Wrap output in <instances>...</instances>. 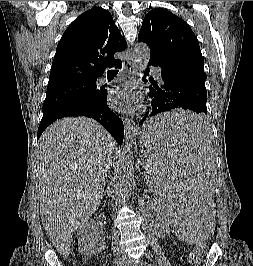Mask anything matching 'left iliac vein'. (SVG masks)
I'll list each match as a JSON object with an SVG mask.
<instances>
[{"mask_svg": "<svg viewBox=\"0 0 253 266\" xmlns=\"http://www.w3.org/2000/svg\"><path fill=\"white\" fill-rule=\"evenodd\" d=\"M125 261L127 263V266H148L146 263L143 261H135L129 257L125 258Z\"/></svg>", "mask_w": 253, "mask_h": 266, "instance_id": "left-iliac-vein-1", "label": "left iliac vein"}]
</instances>
